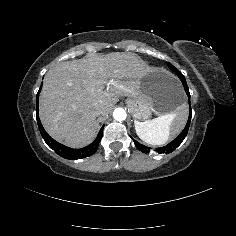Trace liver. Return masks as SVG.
<instances>
[{"label":"liver","instance_id":"obj_1","mask_svg":"<svg viewBox=\"0 0 236 236\" xmlns=\"http://www.w3.org/2000/svg\"><path fill=\"white\" fill-rule=\"evenodd\" d=\"M148 71L132 53H87L78 60L58 63L45 74L39 94L43 128L67 147L88 146L100 127L93 112L100 109L105 116L119 95L137 96L139 82Z\"/></svg>","mask_w":236,"mask_h":236}]
</instances>
